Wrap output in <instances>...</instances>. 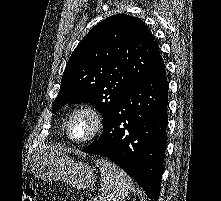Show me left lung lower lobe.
Listing matches in <instances>:
<instances>
[{
  "instance_id": "0a47b994",
  "label": "left lung lower lobe",
  "mask_w": 221,
  "mask_h": 201,
  "mask_svg": "<svg viewBox=\"0 0 221 201\" xmlns=\"http://www.w3.org/2000/svg\"><path fill=\"white\" fill-rule=\"evenodd\" d=\"M167 88L162 62L120 101L101 137L82 150L112 160L155 201L167 140Z\"/></svg>"
}]
</instances>
